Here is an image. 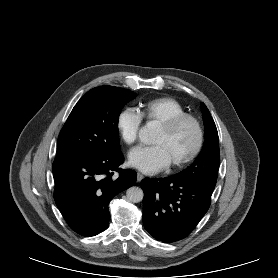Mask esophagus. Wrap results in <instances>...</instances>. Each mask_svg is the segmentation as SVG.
<instances>
[{"mask_svg": "<svg viewBox=\"0 0 278 278\" xmlns=\"http://www.w3.org/2000/svg\"><path fill=\"white\" fill-rule=\"evenodd\" d=\"M144 176L141 173H137V182H141Z\"/></svg>", "mask_w": 278, "mask_h": 278, "instance_id": "obj_1", "label": "esophagus"}]
</instances>
